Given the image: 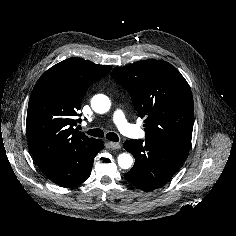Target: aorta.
Segmentation results:
<instances>
[{
  "instance_id": "aorta-1",
  "label": "aorta",
  "mask_w": 236,
  "mask_h": 236,
  "mask_svg": "<svg viewBox=\"0 0 236 236\" xmlns=\"http://www.w3.org/2000/svg\"><path fill=\"white\" fill-rule=\"evenodd\" d=\"M110 100L105 97L102 100L101 105H99L97 102H92L91 103V107L92 109L96 112V113H106L109 109H110ZM133 163V158L130 154L128 153H122L118 156V165L122 168V169H129L132 166Z\"/></svg>"
}]
</instances>
